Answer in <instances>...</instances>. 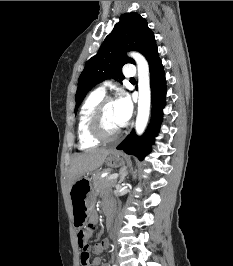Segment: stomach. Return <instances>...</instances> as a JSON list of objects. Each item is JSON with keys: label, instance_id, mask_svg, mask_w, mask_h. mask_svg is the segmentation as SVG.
Wrapping results in <instances>:
<instances>
[{"label": "stomach", "instance_id": "obj_1", "mask_svg": "<svg viewBox=\"0 0 233 266\" xmlns=\"http://www.w3.org/2000/svg\"><path fill=\"white\" fill-rule=\"evenodd\" d=\"M126 161V157L122 152L111 151L105 159L108 167H119ZM71 197L73 201L72 214L74 228H87L89 220L86 209H89L88 199H93L95 193L92 188V177L86 175L77 180L71 187Z\"/></svg>", "mask_w": 233, "mask_h": 266}]
</instances>
